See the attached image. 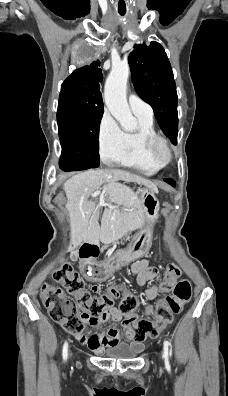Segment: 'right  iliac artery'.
Wrapping results in <instances>:
<instances>
[{"mask_svg":"<svg viewBox=\"0 0 228 396\" xmlns=\"http://www.w3.org/2000/svg\"><path fill=\"white\" fill-rule=\"evenodd\" d=\"M62 355H63V360L66 361L68 358V343L67 342H65L63 345Z\"/></svg>","mask_w":228,"mask_h":396,"instance_id":"right-iliac-artery-1","label":"right iliac artery"}]
</instances>
